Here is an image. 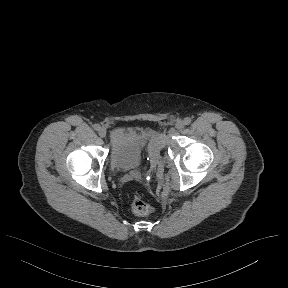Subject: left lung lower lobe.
<instances>
[{
    "label": "left lung lower lobe",
    "mask_w": 288,
    "mask_h": 288,
    "mask_svg": "<svg viewBox=\"0 0 288 288\" xmlns=\"http://www.w3.org/2000/svg\"><path fill=\"white\" fill-rule=\"evenodd\" d=\"M264 208V202L259 197L258 200L254 203V205L251 207V209L248 212V216H257L259 215Z\"/></svg>",
    "instance_id": "0a47b994"
}]
</instances>
